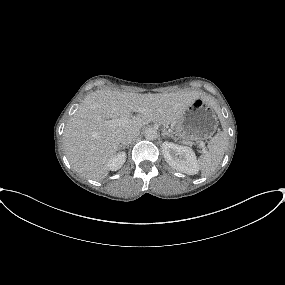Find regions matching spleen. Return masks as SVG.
Masks as SVG:
<instances>
[{
    "label": "spleen",
    "instance_id": "1",
    "mask_svg": "<svg viewBox=\"0 0 285 285\" xmlns=\"http://www.w3.org/2000/svg\"><path fill=\"white\" fill-rule=\"evenodd\" d=\"M228 145L227 133H217L208 143V151L198 159V168L202 176L213 173L220 164Z\"/></svg>",
    "mask_w": 285,
    "mask_h": 285
}]
</instances>
